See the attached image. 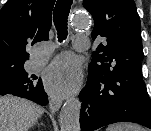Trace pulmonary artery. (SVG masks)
Listing matches in <instances>:
<instances>
[{
    "label": "pulmonary artery",
    "instance_id": "1",
    "mask_svg": "<svg viewBox=\"0 0 151 131\" xmlns=\"http://www.w3.org/2000/svg\"><path fill=\"white\" fill-rule=\"evenodd\" d=\"M89 46V39L85 35H77L75 38V47L80 50L87 49ZM52 52L51 48L40 49L36 52L35 67L39 68L44 64Z\"/></svg>",
    "mask_w": 151,
    "mask_h": 131
}]
</instances>
